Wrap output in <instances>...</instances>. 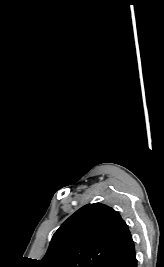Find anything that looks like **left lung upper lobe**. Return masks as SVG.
Here are the masks:
<instances>
[{"label": "left lung upper lobe", "mask_w": 164, "mask_h": 267, "mask_svg": "<svg viewBox=\"0 0 164 267\" xmlns=\"http://www.w3.org/2000/svg\"><path fill=\"white\" fill-rule=\"evenodd\" d=\"M120 214L101 203L77 210L55 232L40 267H100L127 231Z\"/></svg>", "instance_id": "1"}]
</instances>
